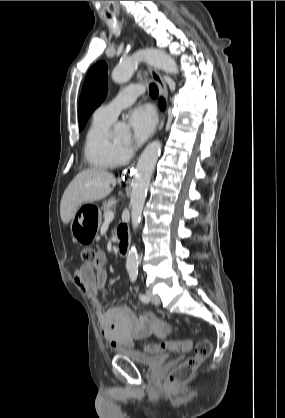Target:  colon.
<instances>
[{
	"label": "colon",
	"instance_id": "colon-1",
	"mask_svg": "<svg viewBox=\"0 0 285 418\" xmlns=\"http://www.w3.org/2000/svg\"><path fill=\"white\" fill-rule=\"evenodd\" d=\"M97 252L92 247L83 248L81 251V260L85 264H91L96 259ZM213 344L210 339H201L194 351V355L176 366L170 373L167 386L175 387L187 382L202 364V362L210 355ZM143 348L151 353H158L164 351L170 352H184L191 348L190 340L169 341L159 343H148L143 345Z\"/></svg>",
	"mask_w": 285,
	"mask_h": 418
}]
</instances>
